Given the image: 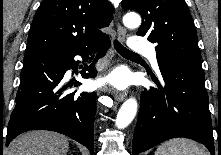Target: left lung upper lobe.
<instances>
[{
    "label": "left lung upper lobe",
    "mask_w": 221,
    "mask_h": 155,
    "mask_svg": "<svg viewBox=\"0 0 221 155\" xmlns=\"http://www.w3.org/2000/svg\"><path fill=\"white\" fill-rule=\"evenodd\" d=\"M121 6L142 16L137 35L155 43L157 55L175 53L201 58L197 33L184 0H123Z\"/></svg>",
    "instance_id": "1"
}]
</instances>
